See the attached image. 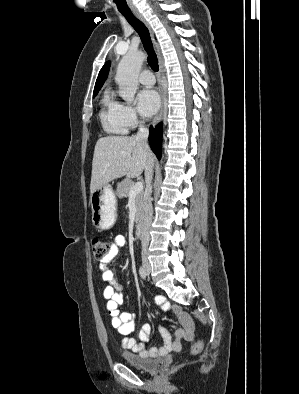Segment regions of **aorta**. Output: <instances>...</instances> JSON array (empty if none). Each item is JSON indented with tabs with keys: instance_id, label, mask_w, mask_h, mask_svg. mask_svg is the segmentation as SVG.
Here are the masks:
<instances>
[{
	"instance_id": "aorta-1",
	"label": "aorta",
	"mask_w": 299,
	"mask_h": 394,
	"mask_svg": "<svg viewBox=\"0 0 299 394\" xmlns=\"http://www.w3.org/2000/svg\"><path fill=\"white\" fill-rule=\"evenodd\" d=\"M145 60L143 52H128L117 67L115 81L119 95L126 101H133L138 89V76Z\"/></svg>"
}]
</instances>
